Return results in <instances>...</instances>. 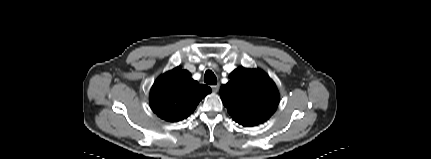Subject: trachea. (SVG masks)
<instances>
[{
    "instance_id": "3493384b",
    "label": "trachea",
    "mask_w": 431,
    "mask_h": 159,
    "mask_svg": "<svg viewBox=\"0 0 431 159\" xmlns=\"http://www.w3.org/2000/svg\"><path fill=\"white\" fill-rule=\"evenodd\" d=\"M204 82L209 84V85H216L217 84V78L211 70H207L205 72Z\"/></svg>"
}]
</instances>
